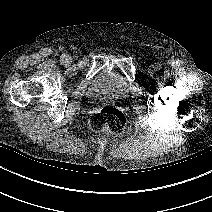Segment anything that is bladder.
<instances>
[{
  "mask_svg": "<svg viewBox=\"0 0 212 212\" xmlns=\"http://www.w3.org/2000/svg\"><path fill=\"white\" fill-rule=\"evenodd\" d=\"M128 92L126 81L109 71L100 72L89 86L87 95L89 100L123 99Z\"/></svg>",
  "mask_w": 212,
  "mask_h": 212,
  "instance_id": "1",
  "label": "bladder"
}]
</instances>
